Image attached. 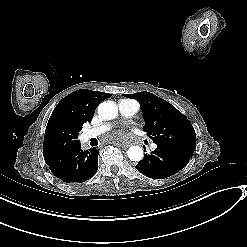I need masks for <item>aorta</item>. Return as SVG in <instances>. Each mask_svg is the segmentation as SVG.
<instances>
[{"instance_id":"aorta-1","label":"aorta","mask_w":247,"mask_h":247,"mask_svg":"<svg viewBox=\"0 0 247 247\" xmlns=\"http://www.w3.org/2000/svg\"><path fill=\"white\" fill-rule=\"evenodd\" d=\"M118 107L110 101H104L98 106V114L106 120H112L117 116ZM128 158L131 161L142 160L144 154L143 149L139 146H132L127 151Z\"/></svg>"}]
</instances>
